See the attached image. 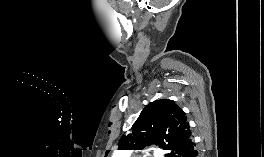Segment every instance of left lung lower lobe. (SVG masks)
<instances>
[{
    "instance_id": "obj_1",
    "label": "left lung lower lobe",
    "mask_w": 264,
    "mask_h": 157,
    "mask_svg": "<svg viewBox=\"0 0 264 157\" xmlns=\"http://www.w3.org/2000/svg\"><path fill=\"white\" fill-rule=\"evenodd\" d=\"M177 157H199L192 138L187 140L179 149Z\"/></svg>"
}]
</instances>
